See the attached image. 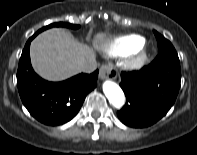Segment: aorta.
Listing matches in <instances>:
<instances>
[{
    "label": "aorta",
    "instance_id": "762f6f07",
    "mask_svg": "<svg viewBox=\"0 0 197 155\" xmlns=\"http://www.w3.org/2000/svg\"><path fill=\"white\" fill-rule=\"evenodd\" d=\"M103 92L109 102L116 108H121L125 103V96L122 89L112 81L103 83Z\"/></svg>",
    "mask_w": 197,
    "mask_h": 155
}]
</instances>
